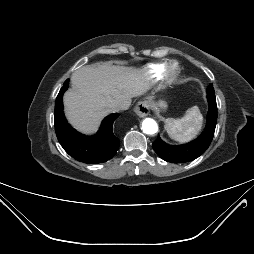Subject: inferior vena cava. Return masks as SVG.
<instances>
[{"mask_svg": "<svg viewBox=\"0 0 254 254\" xmlns=\"http://www.w3.org/2000/svg\"><path fill=\"white\" fill-rule=\"evenodd\" d=\"M130 102L123 101V102H116L112 105V109L114 111H119V110H127L130 106Z\"/></svg>", "mask_w": 254, "mask_h": 254, "instance_id": "602c4592", "label": "inferior vena cava"}]
</instances>
